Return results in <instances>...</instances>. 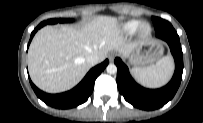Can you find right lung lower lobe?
<instances>
[{
    "label": "right lung lower lobe",
    "mask_w": 203,
    "mask_h": 123,
    "mask_svg": "<svg viewBox=\"0 0 203 123\" xmlns=\"http://www.w3.org/2000/svg\"><path fill=\"white\" fill-rule=\"evenodd\" d=\"M40 24L33 30L31 33L30 41L31 42L33 36L37 32L38 29H40ZM29 45V44H28ZM109 61L105 60L101 64L95 66L92 68L87 75L84 77V79L72 90L60 93V94H48L40 89H38L30 80V84L38 96L44 103L47 105L58 108V109H68L76 107L88 100V97L91 95L93 89H94V83L96 78L100 75V73L105 69V67L108 65Z\"/></svg>",
    "instance_id": "obj_1"
}]
</instances>
